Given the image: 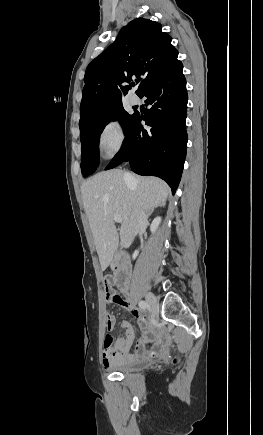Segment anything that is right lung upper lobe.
Masks as SVG:
<instances>
[{
  "label": "right lung upper lobe",
  "instance_id": "cb5924a9",
  "mask_svg": "<svg viewBox=\"0 0 263 435\" xmlns=\"http://www.w3.org/2000/svg\"><path fill=\"white\" fill-rule=\"evenodd\" d=\"M171 36L161 24L137 18L124 26L115 42L88 65L84 77L79 126L96 120L139 83L140 96L154 81L172 70L180 61ZM130 83V85H127Z\"/></svg>",
  "mask_w": 263,
  "mask_h": 435
}]
</instances>
